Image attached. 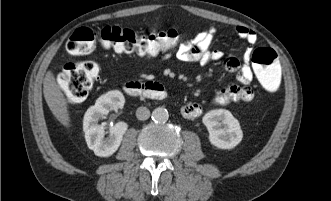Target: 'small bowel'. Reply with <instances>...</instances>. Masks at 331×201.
<instances>
[{
  "mask_svg": "<svg viewBox=\"0 0 331 201\" xmlns=\"http://www.w3.org/2000/svg\"><path fill=\"white\" fill-rule=\"evenodd\" d=\"M238 36L246 40L249 44H255L258 39L257 33L249 28L239 26L236 29ZM216 29L210 27L200 31L191 40L181 42L174 55L177 59L188 63H200L203 65L220 61L223 53L220 50L212 49ZM251 48H248L244 54L243 62L240 63L237 58L228 57L224 61V70L227 73H234L239 84H234L216 92L213 103L216 105H227L231 102L250 101L254 97L253 89L250 83L254 78V69L252 67ZM171 53H164L163 59H168ZM181 114L186 118H195L202 113V107L199 103L190 102L181 107Z\"/></svg>",
  "mask_w": 331,
  "mask_h": 201,
  "instance_id": "c3829d8e",
  "label": "small bowel"
}]
</instances>
